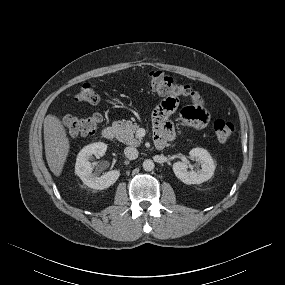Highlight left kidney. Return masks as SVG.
<instances>
[{
  "instance_id": "obj_1",
  "label": "left kidney",
  "mask_w": 285,
  "mask_h": 285,
  "mask_svg": "<svg viewBox=\"0 0 285 285\" xmlns=\"http://www.w3.org/2000/svg\"><path fill=\"white\" fill-rule=\"evenodd\" d=\"M189 155L197 158L201 164V170L198 172L187 171V165L181 161L173 164L175 176L185 184H201L209 180L214 175L215 163L209 152L203 148H193Z\"/></svg>"
}]
</instances>
